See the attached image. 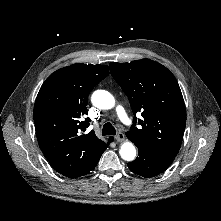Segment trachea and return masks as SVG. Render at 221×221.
Instances as JSON below:
<instances>
[{"instance_id": "3493384b", "label": "trachea", "mask_w": 221, "mask_h": 221, "mask_svg": "<svg viewBox=\"0 0 221 221\" xmlns=\"http://www.w3.org/2000/svg\"><path fill=\"white\" fill-rule=\"evenodd\" d=\"M102 134H103V136L115 135L116 130H115L114 126L108 122V123L104 124L103 129H102Z\"/></svg>"}]
</instances>
